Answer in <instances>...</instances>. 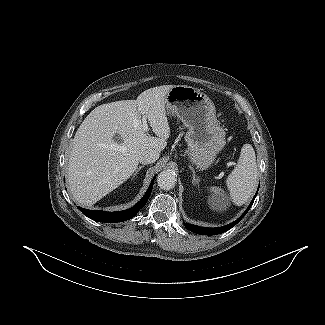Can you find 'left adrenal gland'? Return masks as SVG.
Here are the masks:
<instances>
[{"label":"left adrenal gland","instance_id":"1","mask_svg":"<svg viewBox=\"0 0 325 325\" xmlns=\"http://www.w3.org/2000/svg\"><path fill=\"white\" fill-rule=\"evenodd\" d=\"M189 168H190V170L192 171V183H193L194 185H196V184L199 183V177L196 176V174H195V170H194L193 167L189 166Z\"/></svg>","mask_w":325,"mask_h":325}]
</instances>
